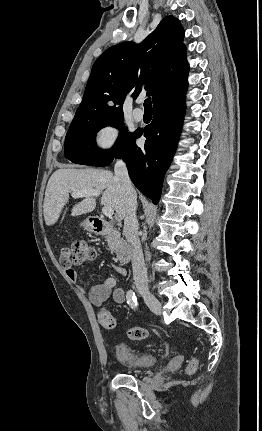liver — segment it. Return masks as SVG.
<instances>
[{
    "label": "liver",
    "instance_id": "1",
    "mask_svg": "<svg viewBox=\"0 0 262 431\" xmlns=\"http://www.w3.org/2000/svg\"><path fill=\"white\" fill-rule=\"evenodd\" d=\"M98 190L103 191L101 205L111 206L118 219L125 216L126 196L113 173L103 169L60 168L50 177L44 199L46 225H53L69 200V193ZM96 206L94 197H86L73 206L71 215L78 216L92 212Z\"/></svg>",
    "mask_w": 262,
    "mask_h": 431
}]
</instances>
